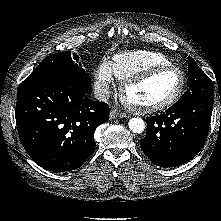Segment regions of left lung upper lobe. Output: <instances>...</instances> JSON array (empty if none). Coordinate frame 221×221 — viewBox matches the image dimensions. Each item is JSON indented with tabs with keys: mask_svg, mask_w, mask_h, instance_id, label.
Instances as JSON below:
<instances>
[{
	"mask_svg": "<svg viewBox=\"0 0 221 221\" xmlns=\"http://www.w3.org/2000/svg\"><path fill=\"white\" fill-rule=\"evenodd\" d=\"M188 86L189 90L184 93L179 102H183L193 97L213 99L214 89L210 78L197 66L196 62L188 58Z\"/></svg>",
	"mask_w": 221,
	"mask_h": 221,
	"instance_id": "left-lung-upper-lobe-1",
	"label": "left lung upper lobe"
}]
</instances>
